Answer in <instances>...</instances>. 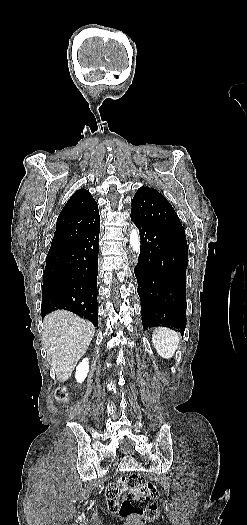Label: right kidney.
<instances>
[{
    "instance_id": "1",
    "label": "right kidney",
    "mask_w": 247,
    "mask_h": 525,
    "mask_svg": "<svg viewBox=\"0 0 247 525\" xmlns=\"http://www.w3.org/2000/svg\"><path fill=\"white\" fill-rule=\"evenodd\" d=\"M89 373V359H83L76 367L75 379L76 383H83Z\"/></svg>"
}]
</instances>
